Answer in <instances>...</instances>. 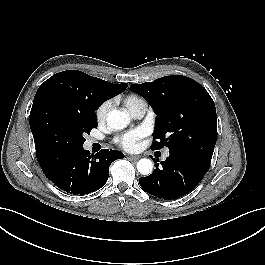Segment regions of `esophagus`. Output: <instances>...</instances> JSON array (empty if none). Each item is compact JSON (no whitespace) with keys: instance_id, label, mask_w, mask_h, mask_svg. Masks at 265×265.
<instances>
[{"instance_id":"34e87169","label":"esophagus","mask_w":265,"mask_h":265,"mask_svg":"<svg viewBox=\"0 0 265 265\" xmlns=\"http://www.w3.org/2000/svg\"><path fill=\"white\" fill-rule=\"evenodd\" d=\"M128 158L131 159V160H138L140 158V156H137V155H129Z\"/></svg>"}]
</instances>
